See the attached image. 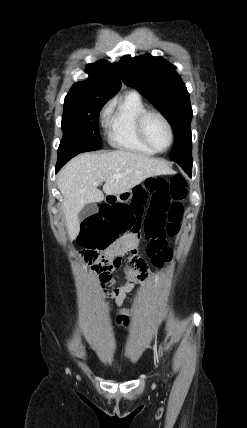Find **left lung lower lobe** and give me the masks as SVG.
<instances>
[{"mask_svg":"<svg viewBox=\"0 0 247 428\" xmlns=\"http://www.w3.org/2000/svg\"><path fill=\"white\" fill-rule=\"evenodd\" d=\"M177 164L189 175L192 174V161H176Z\"/></svg>","mask_w":247,"mask_h":428,"instance_id":"left-lung-lower-lobe-1","label":"left lung lower lobe"}]
</instances>
